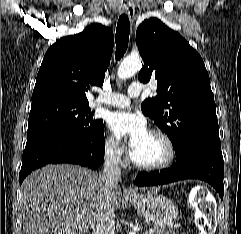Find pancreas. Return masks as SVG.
I'll return each instance as SVG.
<instances>
[{"label":"pancreas","instance_id":"obj_1","mask_svg":"<svg viewBox=\"0 0 241 234\" xmlns=\"http://www.w3.org/2000/svg\"><path fill=\"white\" fill-rule=\"evenodd\" d=\"M152 234H176V233L173 231H165V229L154 228Z\"/></svg>","mask_w":241,"mask_h":234}]
</instances>
